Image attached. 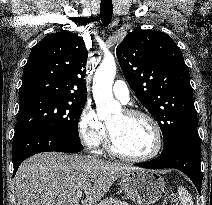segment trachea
<instances>
[{
	"label": "trachea",
	"instance_id": "trachea-1",
	"mask_svg": "<svg viewBox=\"0 0 212 205\" xmlns=\"http://www.w3.org/2000/svg\"><path fill=\"white\" fill-rule=\"evenodd\" d=\"M101 20L105 26H108L112 19L113 6L112 4H100Z\"/></svg>",
	"mask_w": 212,
	"mask_h": 205
}]
</instances>
